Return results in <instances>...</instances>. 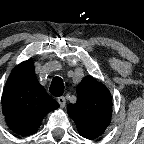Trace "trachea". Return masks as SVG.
<instances>
[{"instance_id": "obj_1", "label": "trachea", "mask_w": 144, "mask_h": 144, "mask_svg": "<svg viewBox=\"0 0 144 144\" xmlns=\"http://www.w3.org/2000/svg\"><path fill=\"white\" fill-rule=\"evenodd\" d=\"M49 91L55 97L61 96L64 93L63 80L60 77H54L50 85Z\"/></svg>"}]
</instances>
